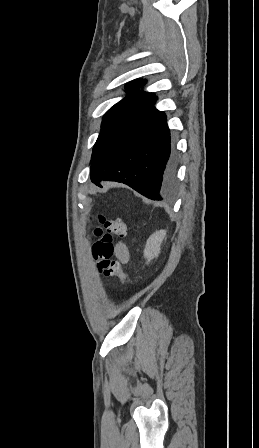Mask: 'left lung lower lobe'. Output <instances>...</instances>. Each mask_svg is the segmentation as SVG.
Instances as JSON below:
<instances>
[{"label":"left lung lower lobe","instance_id":"0a47b994","mask_svg":"<svg viewBox=\"0 0 259 448\" xmlns=\"http://www.w3.org/2000/svg\"><path fill=\"white\" fill-rule=\"evenodd\" d=\"M155 96L101 148L91 161V181L127 184L152 200H161L175 183L177 155L171 150L166 115Z\"/></svg>","mask_w":259,"mask_h":448}]
</instances>
